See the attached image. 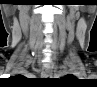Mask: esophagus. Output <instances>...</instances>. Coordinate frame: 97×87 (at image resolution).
I'll return each instance as SVG.
<instances>
[{
	"label": "esophagus",
	"instance_id": "obj_1",
	"mask_svg": "<svg viewBox=\"0 0 97 87\" xmlns=\"http://www.w3.org/2000/svg\"><path fill=\"white\" fill-rule=\"evenodd\" d=\"M53 68H54L53 63H49V64L45 67V69L43 70L42 74H43L44 76H51L52 73H53Z\"/></svg>",
	"mask_w": 97,
	"mask_h": 87
}]
</instances>
